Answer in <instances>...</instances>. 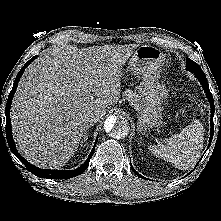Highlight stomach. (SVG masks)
<instances>
[{"mask_svg":"<svg viewBox=\"0 0 221 221\" xmlns=\"http://www.w3.org/2000/svg\"><path fill=\"white\" fill-rule=\"evenodd\" d=\"M165 63L163 52L151 45L140 46L129 61V69L142 77L138 86L141 96L137 128L139 132L150 130L162 123L163 102L168 97V89L158 80Z\"/></svg>","mask_w":221,"mask_h":221,"instance_id":"1","label":"stomach"}]
</instances>
